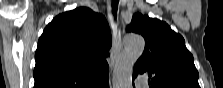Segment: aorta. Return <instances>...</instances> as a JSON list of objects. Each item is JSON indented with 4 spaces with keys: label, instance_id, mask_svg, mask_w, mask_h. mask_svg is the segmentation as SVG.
I'll use <instances>...</instances> for the list:
<instances>
[{
    "label": "aorta",
    "instance_id": "1",
    "mask_svg": "<svg viewBox=\"0 0 223 88\" xmlns=\"http://www.w3.org/2000/svg\"><path fill=\"white\" fill-rule=\"evenodd\" d=\"M145 47L143 37L140 35H128L124 40V50L117 60L112 83L113 88H131L133 66L142 55Z\"/></svg>",
    "mask_w": 223,
    "mask_h": 88
}]
</instances>
